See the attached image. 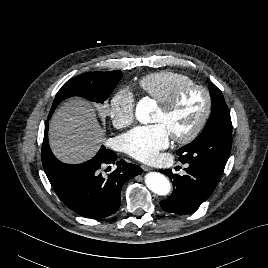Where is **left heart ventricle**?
Instances as JSON below:
<instances>
[{
	"label": "left heart ventricle",
	"instance_id": "obj_1",
	"mask_svg": "<svg viewBox=\"0 0 268 268\" xmlns=\"http://www.w3.org/2000/svg\"><path fill=\"white\" fill-rule=\"evenodd\" d=\"M204 107V94L199 90H191L181 98L171 114L165 115L158 108L153 123L163 124L171 136H182L193 129L202 116Z\"/></svg>",
	"mask_w": 268,
	"mask_h": 268
}]
</instances>
